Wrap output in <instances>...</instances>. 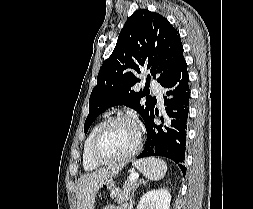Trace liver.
I'll return each instance as SVG.
<instances>
[{
	"mask_svg": "<svg viewBox=\"0 0 253 209\" xmlns=\"http://www.w3.org/2000/svg\"><path fill=\"white\" fill-rule=\"evenodd\" d=\"M120 166H109L81 176L76 188L77 209H94L96 194L100 187L119 170Z\"/></svg>",
	"mask_w": 253,
	"mask_h": 209,
	"instance_id": "liver-1",
	"label": "liver"
}]
</instances>
